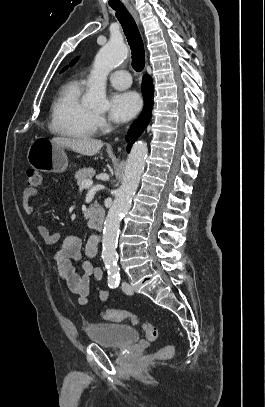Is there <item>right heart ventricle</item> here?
Listing matches in <instances>:
<instances>
[{
  "label": "right heart ventricle",
  "mask_w": 265,
  "mask_h": 407,
  "mask_svg": "<svg viewBox=\"0 0 265 407\" xmlns=\"http://www.w3.org/2000/svg\"><path fill=\"white\" fill-rule=\"evenodd\" d=\"M83 82L62 86L51 107L50 130L71 138H89L96 132L94 113L81 102Z\"/></svg>",
  "instance_id": "1"
}]
</instances>
